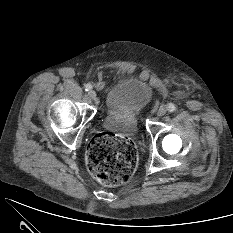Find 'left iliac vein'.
Listing matches in <instances>:
<instances>
[{
	"mask_svg": "<svg viewBox=\"0 0 233 233\" xmlns=\"http://www.w3.org/2000/svg\"><path fill=\"white\" fill-rule=\"evenodd\" d=\"M166 112H167V108L164 105H162V106L159 107V109L157 111V115L158 116H163V115L166 114Z\"/></svg>",
	"mask_w": 233,
	"mask_h": 233,
	"instance_id": "1",
	"label": "left iliac vein"
}]
</instances>
